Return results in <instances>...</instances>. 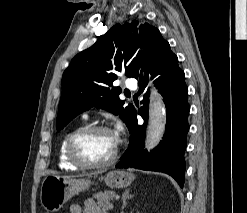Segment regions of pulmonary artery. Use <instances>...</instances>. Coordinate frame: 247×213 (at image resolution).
Masks as SVG:
<instances>
[{
    "instance_id": "e3ab8cb5",
    "label": "pulmonary artery",
    "mask_w": 247,
    "mask_h": 213,
    "mask_svg": "<svg viewBox=\"0 0 247 213\" xmlns=\"http://www.w3.org/2000/svg\"><path fill=\"white\" fill-rule=\"evenodd\" d=\"M125 82V86L126 88H128L129 90H135L136 89V82L134 79L132 78H125L124 79Z\"/></svg>"
}]
</instances>
